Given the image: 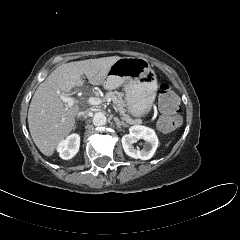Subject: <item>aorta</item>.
<instances>
[{"instance_id":"obj_1","label":"aorta","mask_w":240,"mask_h":240,"mask_svg":"<svg viewBox=\"0 0 240 240\" xmlns=\"http://www.w3.org/2000/svg\"><path fill=\"white\" fill-rule=\"evenodd\" d=\"M93 124L97 127L105 125L106 116L101 112L95 113L93 116Z\"/></svg>"}]
</instances>
